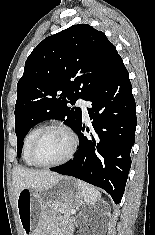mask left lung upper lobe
<instances>
[{
  "label": "left lung upper lobe",
  "instance_id": "left-lung-upper-lobe-1",
  "mask_svg": "<svg viewBox=\"0 0 155 235\" xmlns=\"http://www.w3.org/2000/svg\"><path fill=\"white\" fill-rule=\"evenodd\" d=\"M119 58L105 34L88 24L73 25L40 42L17 84V156L29 130L44 119H61L75 130L82 112L67 104L87 101Z\"/></svg>",
  "mask_w": 155,
  "mask_h": 235
}]
</instances>
